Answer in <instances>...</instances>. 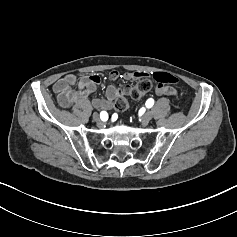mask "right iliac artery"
Wrapping results in <instances>:
<instances>
[{
	"instance_id": "right-iliac-artery-1",
	"label": "right iliac artery",
	"mask_w": 237,
	"mask_h": 237,
	"mask_svg": "<svg viewBox=\"0 0 237 237\" xmlns=\"http://www.w3.org/2000/svg\"><path fill=\"white\" fill-rule=\"evenodd\" d=\"M100 118H101V120H107V118H108V114H107V112L106 111H102L101 113H100Z\"/></svg>"
}]
</instances>
